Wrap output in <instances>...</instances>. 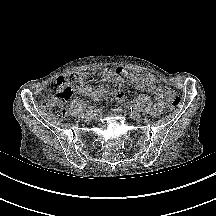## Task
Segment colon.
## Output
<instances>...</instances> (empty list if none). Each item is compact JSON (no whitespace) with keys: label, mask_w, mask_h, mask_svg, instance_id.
I'll use <instances>...</instances> for the list:
<instances>
[{"label":"colon","mask_w":216,"mask_h":216,"mask_svg":"<svg viewBox=\"0 0 216 216\" xmlns=\"http://www.w3.org/2000/svg\"><path fill=\"white\" fill-rule=\"evenodd\" d=\"M91 75L79 72H70L58 78L52 86L53 94L45 98L44 108L55 118L63 119L66 115L65 105L73 95V88L76 85L87 83ZM167 105L171 109L180 106L181 100L173 91L168 90Z\"/></svg>","instance_id":"1"}]
</instances>
